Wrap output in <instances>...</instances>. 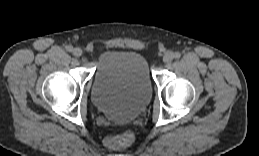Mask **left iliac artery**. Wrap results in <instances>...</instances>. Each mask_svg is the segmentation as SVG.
Listing matches in <instances>:
<instances>
[{"instance_id":"obj_1","label":"left iliac artery","mask_w":259,"mask_h":156,"mask_svg":"<svg viewBox=\"0 0 259 156\" xmlns=\"http://www.w3.org/2000/svg\"><path fill=\"white\" fill-rule=\"evenodd\" d=\"M173 57H174L175 59H179V58L181 57V54H180L179 52H175V53L173 54Z\"/></svg>"}]
</instances>
